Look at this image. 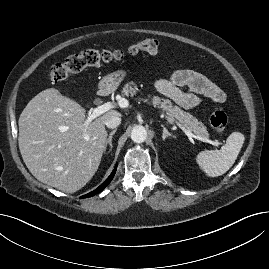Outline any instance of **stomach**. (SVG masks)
I'll return each mask as SVG.
<instances>
[{
    "label": "stomach",
    "instance_id": "0dacf381",
    "mask_svg": "<svg viewBox=\"0 0 269 269\" xmlns=\"http://www.w3.org/2000/svg\"><path fill=\"white\" fill-rule=\"evenodd\" d=\"M126 76L127 72L123 69L106 75L99 83L100 92L106 94L115 91Z\"/></svg>",
    "mask_w": 269,
    "mask_h": 269
}]
</instances>
